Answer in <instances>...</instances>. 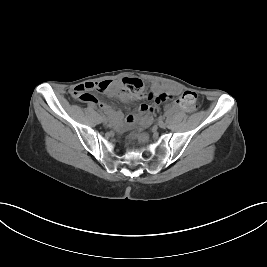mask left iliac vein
<instances>
[{"instance_id":"obj_1","label":"left iliac vein","mask_w":267,"mask_h":267,"mask_svg":"<svg viewBox=\"0 0 267 267\" xmlns=\"http://www.w3.org/2000/svg\"><path fill=\"white\" fill-rule=\"evenodd\" d=\"M158 126H159L160 128H165V127H166V123H164L163 121H160V122L158 123Z\"/></svg>"}]
</instances>
